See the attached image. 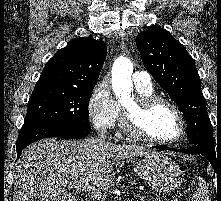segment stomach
<instances>
[{
    "label": "stomach",
    "mask_w": 221,
    "mask_h": 201,
    "mask_svg": "<svg viewBox=\"0 0 221 201\" xmlns=\"http://www.w3.org/2000/svg\"><path fill=\"white\" fill-rule=\"evenodd\" d=\"M133 169L158 192H171L182 183L181 169L163 152L145 155L133 164Z\"/></svg>",
    "instance_id": "obj_1"
}]
</instances>
